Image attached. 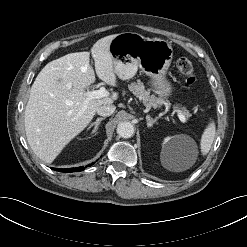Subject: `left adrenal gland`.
<instances>
[{
	"instance_id": "a2214340",
	"label": "left adrenal gland",
	"mask_w": 247,
	"mask_h": 247,
	"mask_svg": "<svg viewBox=\"0 0 247 247\" xmlns=\"http://www.w3.org/2000/svg\"><path fill=\"white\" fill-rule=\"evenodd\" d=\"M146 120H147V127L148 128L153 127V124H157L156 119L151 118L149 115L146 116Z\"/></svg>"
}]
</instances>
